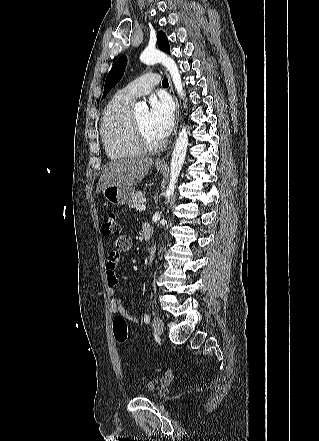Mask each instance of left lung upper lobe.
I'll list each match as a JSON object with an SVG mask.
<instances>
[{
	"label": "left lung upper lobe",
	"mask_w": 319,
	"mask_h": 441,
	"mask_svg": "<svg viewBox=\"0 0 319 441\" xmlns=\"http://www.w3.org/2000/svg\"><path fill=\"white\" fill-rule=\"evenodd\" d=\"M157 42H158V47L162 51H164L166 53H170L169 42H168V39L163 31L158 32ZM126 64H127V57L126 56L120 57L114 63L113 67L111 68L110 72L107 75L105 85H104V93H103L102 99L105 98L107 93L120 81V79L122 78V76L124 74Z\"/></svg>",
	"instance_id": "5c2ea615"
}]
</instances>
